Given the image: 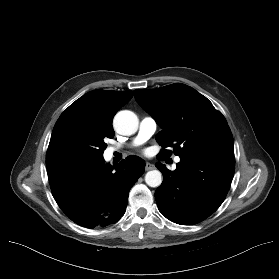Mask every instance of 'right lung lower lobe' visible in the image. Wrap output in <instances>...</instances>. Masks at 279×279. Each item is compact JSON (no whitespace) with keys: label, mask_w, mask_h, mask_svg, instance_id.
<instances>
[{"label":"right lung lower lobe","mask_w":279,"mask_h":279,"mask_svg":"<svg viewBox=\"0 0 279 279\" xmlns=\"http://www.w3.org/2000/svg\"><path fill=\"white\" fill-rule=\"evenodd\" d=\"M145 162L128 156L118 165L102 158L47 169L51 191L62 211L87 228L105 227L125 213L129 191Z\"/></svg>","instance_id":"obj_1"}]
</instances>
